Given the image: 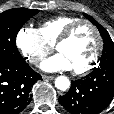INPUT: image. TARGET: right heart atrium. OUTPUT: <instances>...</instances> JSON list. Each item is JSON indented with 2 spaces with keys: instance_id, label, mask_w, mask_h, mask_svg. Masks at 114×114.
Listing matches in <instances>:
<instances>
[{
  "instance_id": "right-heart-atrium-1",
  "label": "right heart atrium",
  "mask_w": 114,
  "mask_h": 114,
  "mask_svg": "<svg viewBox=\"0 0 114 114\" xmlns=\"http://www.w3.org/2000/svg\"><path fill=\"white\" fill-rule=\"evenodd\" d=\"M15 44L26 61L33 65L39 64L53 49L37 29L27 26L18 30Z\"/></svg>"
}]
</instances>
